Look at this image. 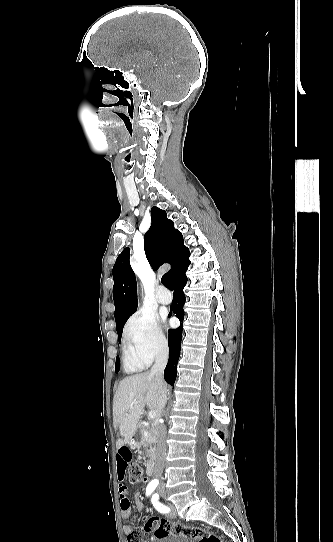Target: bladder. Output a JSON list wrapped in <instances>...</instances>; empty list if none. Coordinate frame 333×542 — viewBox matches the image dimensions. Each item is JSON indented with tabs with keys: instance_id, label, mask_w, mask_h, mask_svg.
<instances>
[{
	"instance_id": "1",
	"label": "bladder",
	"mask_w": 333,
	"mask_h": 542,
	"mask_svg": "<svg viewBox=\"0 0 333 542\" xmlns=\"http://www.w3.org/2000/svg\"><path fill=\"white\" fill-rule=\"evenodd\" d=\"M155 542H197L193 538H188L186 535L182 534H167L165 536L159 537Z\"/></svg>"
}]
</instances>
